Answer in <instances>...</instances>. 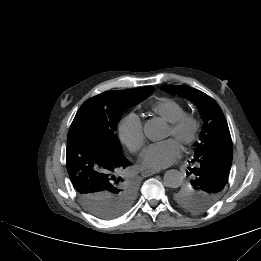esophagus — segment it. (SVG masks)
<instances>
[{
    "label": "esophagus",
    "instance_id": "esophagus-1",
    "mask_svg": "<svg viewBox=\"0 0 261 261\" xmlns=\"http://www.w3.org/2000/svg\"><path fill=\"white\" fill-rule=\"evenodd\" d=\"M159 172H160V170H146V171H143L141 174L143 177H148V176L157 174Z\"/></svg>",
    "mask_w": 261,
    "mask_h": 261
}]
</instances>
